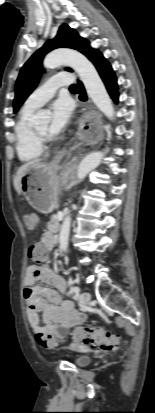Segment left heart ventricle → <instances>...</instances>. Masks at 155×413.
<instances>
[{
	"label": "left heart ventricle",
	"instance_id": "obj_1",
	"mask_svg": "<svg viewBox=\"0 0 155 413\" xmlns=\"http://www.w3.org/2000/svg\"><path fill=\"white\" fill-rule=\"evenodd\" d=\"M36 129H37L40 133H42V134H47L48 125H47V123L41 124V125H37V126H36Z\"/></svg>",
	"mask_w": 155,
	"mask_h": 413
}]
</instances>
